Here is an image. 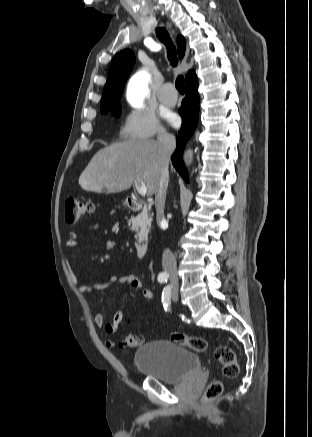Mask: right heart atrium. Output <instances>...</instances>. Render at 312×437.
Listing matches in <instances>:
<instances>
[{
    "instance_id": "d8ad5b80",
    "label": "right heart atrium",
    "mask_w": 312,
    "mask_h": 437,
    "mask_svg": "<svg viewBox=\"0 0 312 437\" xmlns=\"http://www.w3.org/2000/svg\"><path fill=\"white\" fill-rule=\"evenodd\" d=\"M119 135L128 140H147L155 136H165L156 115L148 110H133L122 119Z\"/></svg>"
}]
</instances>
